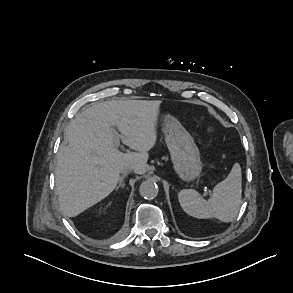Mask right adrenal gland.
Masks as SVG:
<instances>
[{
  "instance_id": "1",
  "label": "right adrenal gland",
  "mask_w": 293,
  "mask_h": 293,
  "mask_svg": "<svg viewBox=\"0 0 293 293\" xmlns=\"http://www.w3.org/2000/svg\"><path fill=\"white\" fill-rule=\"evenodd\" d=\"M127 176V174H124V175H122L121 177H120V181H119V184H118V186L116 187V191L120 188V187H122V188H124V186H125V184L123 183V181H124V178Z\"/></svg>"
}]
</instances>
